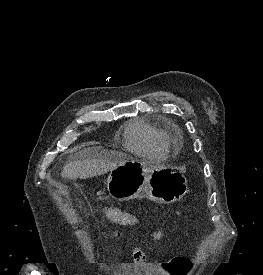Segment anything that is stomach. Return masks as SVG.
Masks as SVG:
<instances>
[{
	"mask_svg": "<svg viewBox=\"0 0 263 275\" xmlns=\"http://www.w3.org/2000/svg\"><path fill=\"white\" fill-rule=\"evenodd\" d=\"M107 190L118 201L143 195L157 203L169 204L183 198L188 192V185L186 177L180 172L130 158L111 170Z\"/></svg>",
	"mask_w": 263,
	"mask_h": 275,
	"instance_id": "obj_1",
	"label": "stomach"
}]
</instances>
